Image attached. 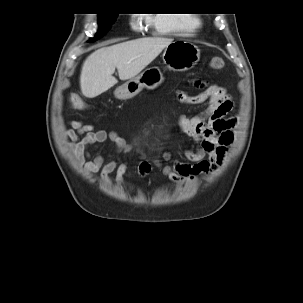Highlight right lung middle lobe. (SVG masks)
<instances>
[{"mask_svg":"<svg viewBox=\"0 0 303 303\" xmlns=\"http://www.w3.org/2000/svg\"><path fill=\"white\" fill-rule=\"evenodd\" d=\"M117 16L118 14H98L100 30L98 32V35L93 38L91 42H94L105 35L109 31L112 24L116 21Z\"/></svg>","mask_w":303,"mask_h":303,"instance_id":"obj_1","label":"right lung middle lobe"}]
</instances>
